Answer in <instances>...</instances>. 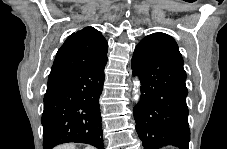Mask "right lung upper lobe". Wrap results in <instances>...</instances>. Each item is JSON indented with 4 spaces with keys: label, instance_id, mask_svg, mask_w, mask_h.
<instances>
[{
    "label": "right lung upper lobe",
    "instance_id": "cb5924a9",
    "mask_svg": "<svg viewBox=\"0 0 227 149\" xmlns=\"http://www.w3.org/2000/svg\"><path fill=\"white\" fill-rule=\"evenodd\" d=\"M107 47L103 35L93 27L71 34L56 54L48 83L105 62Z\"/></svg>",
    "mask_w": 227,
    "mask_h": 149
}]
</instances>
